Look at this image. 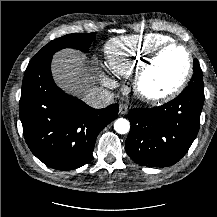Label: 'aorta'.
Returning <instances> with one entry per match:
<instances>
[{
  "label": "aorta",
  "mask_w": 217,
  "mask_h": 217,
  "mask_svg": "<svg viewBox=\"0 0 217 217\" xmlns=\"http://www.w3.org/2000/svg\"><path fill=\"white\" fill-rule=\"evenodd\" d=\"M114 129L119 134H126L130 130V123L127 119L119 118L114 123Z\"/></svg>",
  "instance_id": "obj_1"
}]
</instances>
